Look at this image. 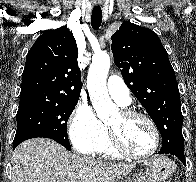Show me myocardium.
Here are the masks:
<instances>
[{
	"label": "myocardium",
	"mask_w": 196,
	"mask_h": 182,
	"mask_svg": "<svg viewBox=\"0 0 196 182\" xmlns=\"http://www.w3.org/2000/svg\"><path fill=\"white\" fill-rule=\"evenodd\" d=\"M120 114L126 119L142 118L145 121H147L149 123V125L151 126L153 133H154V145H153L152 149L145 154L133 153V152L129 151L123 145L118 133L115 132L113 129H111L108 126L109 140H110V143H111V146L113 147V149L119 155L131 158V159H135V160H143V159H147V158H150L151 156H153L158 151L159 146H160V141H161L160 131H159V128H158L156 122L146 113L132 110V109H122L120 111Z\"/></svg>",
	"instance_id": "myocardium-1"
}]
</instances>
